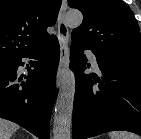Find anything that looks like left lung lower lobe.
<instances>
[{"label":"left lung lower lobe","mask_w":141,"mask_h":139,"mask_svg":"<svg viewBox=\"0 0 141 139\" xmlns=\"http://www.w3.org/2000/svg\"><path fill=\"white\" fill-rule=\"evenodd\" d=\"M86 44L72 41L70 66L76 91L73 139H85L108 131L125 130L141 135V62L102 55L92 49L103 77L84 74ZM92 78L98 82L94 85Z\"/></svg>","instance_id":"1"}]
</instances>
